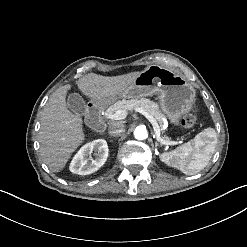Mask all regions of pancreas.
I'll list each match as a JSON object with an SVG mask.
<instances>
[{
	"mask_svg": "<svg viewBox=\"0 0 247 247\" xmlns=\"http://www.w3.org/2000/svg\"><path fill=\"white\" fill-rule=\"evenodd\" d=\"M136 107H142L144 108L147 112H149L151 115H153L156 120L159 122L161 128H162V133L165 141L169 142V137L165 135L166 130L163 128L164 120H165V115L162 113L161 109L159 108V105L155 102H151L148 99H141V100H122V101H117L110 105L105 111V116L108 117L110 114H115L117 113L118 110L120 109H127L128 111H132ZM111 121H109L110 123Z\"/></svg>",
	"mask_w": 247,
	"mask_h": 247,
	"instance_id": "1",
	"label": "pancreas"
}]
</instances>
